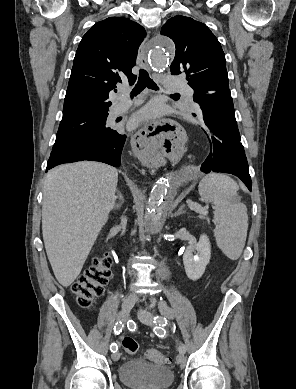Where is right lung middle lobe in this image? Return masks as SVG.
<instances>
[{
  "mask_svg": "<svg viewBox=\"0 0 296 389\" xmlns=\"http://www.w3.org/2000/svg\"><path fill=\"white\" fill-rule=\"evenodd\" d=\"M108 112L78 113L62 117L53 149L116 133L106 127Z\"/></svg>",
  "mask_w": 296,
  "mask_h": 389,
  "instance_id": "right-lung-middle-lobe-1",
  "label": "right lung middle lobe"
}]
</instances>
